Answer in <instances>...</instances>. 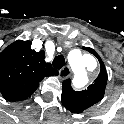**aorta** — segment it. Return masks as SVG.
<instances>
[{"label": "aorta", "instance_id": "aorta-1", "mask_svg": "<svg viewBox=\"0 0 124 124\" xmlns=\"http://www.w3.org/2000/svg\"><path fill=\"white\" fill-rule=\"evenodd\" d=\"M68 62L74 70L73 83L77 88H82L87 85L89 79L85 70V58L84 56L73 50L68 54Z\"/></svg>", "mask_w": 124, "mask_h": 124}]
</instances>
